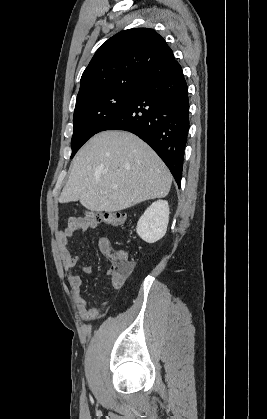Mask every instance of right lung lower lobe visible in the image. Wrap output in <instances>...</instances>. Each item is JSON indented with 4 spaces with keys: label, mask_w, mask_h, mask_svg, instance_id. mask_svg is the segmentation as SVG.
<instances>
[{
    "label": "right lung lower lobe",
    "mask_w": 267,
    "mask_h": 419,
    "mask_svg": "<svg viewBox=\"0 0 267 419\" xmlns=\"http://www.w3.org/2000/svg\"><path fill=\"white\" fill-rule=\"evenodd\" d=\"M105 130H125L139 136L165 162L180 187L189 131V99L179 63L175 61L144 81Z\"/></svg>",
    "instance_id": "obj_1"
}]
</instances>
